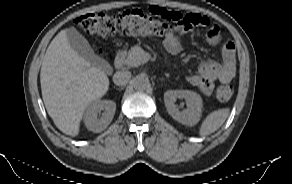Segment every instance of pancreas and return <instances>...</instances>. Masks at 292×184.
<instances>
[{"instance_id": "pancreas-1", "label": "pancreas", "mask_w": 292, "mask_h": 184, "mask_svg": "<svg viewBox=\"0 0 292 184\" xmlns=\"http://www.w3.org/2000/svg\"><path fill=\"white\" fill-rule=\"evenodd\" d=\"M145 51L140 46H133L122 55V63L127 67H137L144 63Z\"/></svg>"}]
</instances>
